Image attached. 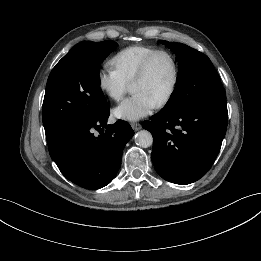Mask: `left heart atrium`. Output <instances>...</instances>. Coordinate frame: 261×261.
<instances>
[{"mask_svg": "<svg viewBox=\"0 0 261 261\" xmlns=\"http://www.w3.org/2000/svg\"><path fill=\"white\" fill-rule=\"evenodd\" d=\"M156 103L143 93H134L113 110V115L122 120L136 121L149 115Z\"/></svg>", "mask_w": 261, "mask_h": 261, "instance_id": "1", "label": "left heart atrium"}]
</instances>
